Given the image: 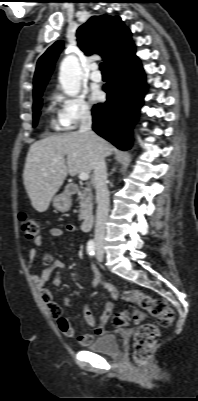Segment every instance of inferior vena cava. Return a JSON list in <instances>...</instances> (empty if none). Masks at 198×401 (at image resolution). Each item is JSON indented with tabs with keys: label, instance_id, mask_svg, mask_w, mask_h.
<instances>
[{
	"label": "inferior vena cava",
	"instance_id": "inferior-vena-cava-1",
	"mask_svg": "<svg viewBox=\"0 0 198 401\" xmlns=\"http://www.w3.org/2000/svg\"><path fill=\"white\" fill-rule=\"evenodd\" d=\"M91 127V113L88 110L83 111L81 114L80 132L93 140H97V135L92 131ZM93 170V183L96 190L97 201L94 241L96 246H100L104 243L110 200L107 188V166L105 156L99 150L96 151Z\"/></svg>",
	"mask_w": 198,
	"mask_h": 401
}]
</instances>
